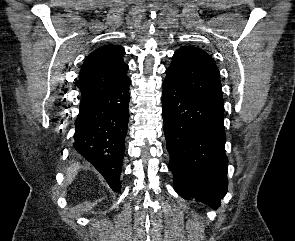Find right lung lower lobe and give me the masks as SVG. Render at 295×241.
<instances>
[{
    "instance_id": "right-lung-lower-lobe-1",
    "label": "right lung lower lobe",
    "mask_w": 295,
    "mask_h": 241,
    "mask_svg": "<svg viewBox=\"0 0 295 241\" xmlns=\"http://www.w3.org/2000/svg\"><path fill=\"white\" fill-rule=\"evenodd\" d=\"M83 96L75 121L74 147L118 192L129 121V85Z\"/></svg>"
}]
</instances>
